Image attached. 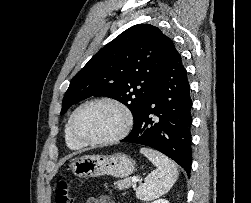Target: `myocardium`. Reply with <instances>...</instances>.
I'll list each match as a JSON object with an SVG mask.
<instances>
[{"instance_id": "obj_1", "label": "myocardium", "mask_w": 251, "mask_h": 203, "mask_svg": "<svg viewBox=\"0 0 251 203\" xmlns=\"http://www.w3.org/2000/svg\"><path fill=\"white\" fill-rule=\"evenodd\" d=\"M97 103L110 104L116 107L117 109H119L121 113L123 114L124 122L121 129L116 134H114L113 136L109 138L100 139V140L86 139L82 137L76 130V127H75L76 118L82 109L90 105L97 104ZM132 126H133V115H132L131 110L123 102L117 99L111 98V97H98V98H94V99L84 102L73 111L69 120V128H70V132L72 136L81 144L92 145V146H105V145L116 143L122 140L123 138H125L130 133Z\"/></svg>"}]
</instances>
